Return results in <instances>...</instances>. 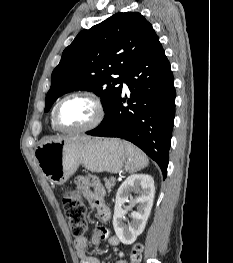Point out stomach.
I'll use <instances>...</instances> for the list:
<instances>
[{"instance_id":"1","label":"stomach","mask_w":233,"mask_h":263,"mask_svg":"<svg viewBox=\"0 0 233 263\" xmlns=\"http://www.w3.org/2000/svg\"><path fill=\"white\" fill-rule=\"evenodd\" d=\"M36 162L51 182L64 184L82 164L92 172L118 173L126 161L124 142L116 138L64 136L41 143Z\"/></svg>"}]
</instances>
